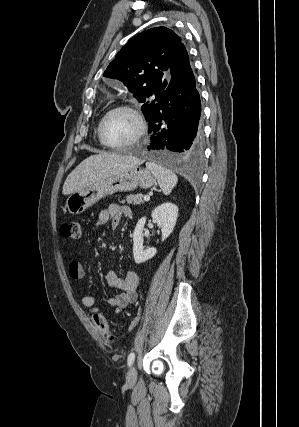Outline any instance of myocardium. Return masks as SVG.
Here are the masks:
<instances>
[{"label":"myocardium","instance_id":"1","mask_svg":"<svg viewBox=\"0 0 299 427\" xmlns=\"http://www.w3.org/2000/svg\"><path fill=\"white\" fill-rule=\"evenodd\" d=\"M118 111H125V112L129 113L135 119L136 124H137V131H136L135 135L133 136V138L126 143L110 144V143L106 142V140L104 138L103 128H104V124H105L106 120L109 118V116L115 112H118ZM146 129H147L146 120H145L142 112L138 108H136L135 106H133L131 104H120V105H117V106L111 108L110 110H108L104 114V116L101 118V120L99 122L97 132H98L99 140L103 146L110 148V149H125V148H128V147L136 144L145 135Z\"/></svg>","mask_w":299,"mask_h":427}]
</instances>
